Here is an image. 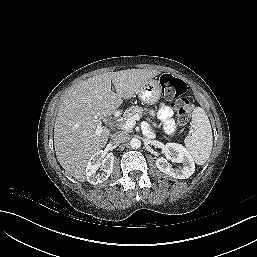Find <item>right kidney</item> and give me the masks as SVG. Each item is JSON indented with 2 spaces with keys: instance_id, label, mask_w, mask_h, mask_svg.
<instances>
[{
  "instance_id": "right-kidney-1",
  "label": "right kidney",
  "mask_w": 257,
  "mask_h": 257,
  "mask_svg": "<svg viewBox=\"0 0 257 257\" xmlns=\"http://www.w3.org/2000/svg\"><path fill=\"white\" fill-rule=\"evenodd\" d=\"M114 155L113 153H106L103 150L97 151L89 159L85 174L87 181L93 185L104 182L113 172ZM101 173L97 172L98 169Z\"/></svg>"
}]
</instances>
